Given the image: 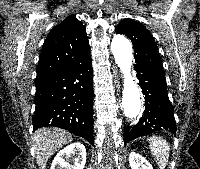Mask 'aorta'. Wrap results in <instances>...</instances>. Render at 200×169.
<instances>
[{"label":"aorta","instance_id":"aorta-1","mask_svg":"<svg viewBox=\"0 0 200 169\" xmlns=\"http://www.w3.org/2000/svg\"><path fill=\"white\" fill-rule=\"evenodd\" d=\"M111 51L124 78L122 108L128 118H136L141 109L140 92L131 74L133 50L129 40L123 35L112 39Z\"/></svg>","mask_w":200,"mask_h":169}]
</instances>
